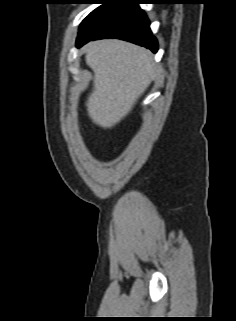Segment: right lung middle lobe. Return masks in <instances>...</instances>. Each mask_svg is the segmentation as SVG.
I'll list each match as a JSON object with an SVG mask.
<instances>
[{"label": "right lung middle lobe", "instance_id": "right-lung-middle-lobe-1", "mask_svg": "<svg viewBox=\"0 0 236 321\" xmlns=\"http://www.w3.org/2000/svg\"><path fill=\"white\" fill-rule=\"evenodd\" d=\"M101 4L100 7L92 11L81 23L79 30L105 5L107 4L110 0H99Z\"/></svg>", "mask_w": 236, "mask_h": 321}]
</instances>
